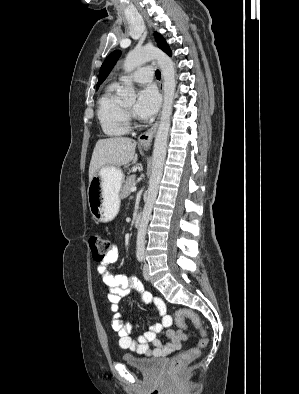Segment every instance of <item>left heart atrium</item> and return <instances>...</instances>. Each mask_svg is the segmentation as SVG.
<instances>
[{"mask_svg": "<svg viewBox=\"0 0 299 394\" xmlns=\"http://www.w3.org/2000/svg\"><path fill=\"white\" fill-rule=\"evenodd\" d=\"M160 97L155 88L149 86L140 91L134 113L141 119H149L158 111Z\"/></svg>", "mask_w": 299, "mask_h": 394, "instance_id": "left-heart-atrium-1", "label": "left heart atrium"}]
</instances>
